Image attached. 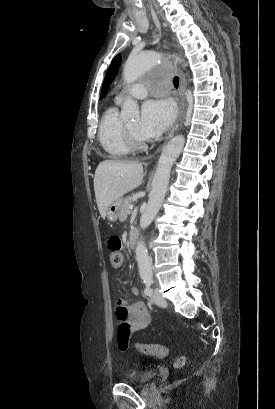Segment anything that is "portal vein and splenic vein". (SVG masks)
I'll return each mask as SVG.
<instances>
[{"instance_id":"portal-vein-and-splenic-vein-1","label":"portal vein and splenic vein","mask_w":275,"mask_h":409,"mask_svg":"<svg viewBox=\"0 0 275 409\" xmlns=\"http://www.w3.org/2000/svg\"><path fill=\"white\" fill-rule=\"evenodd\" d=\"M129 209H133V205H129Z\"/></svg>"}]
</instances>
